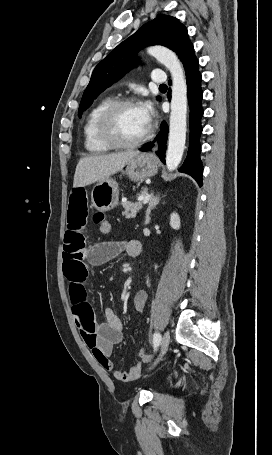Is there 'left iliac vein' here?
I'll use <instances>...</instances> for the list:
<instances>
[{
	"label": "left iliac vein",
	"mask_w": 272,
	"mask_h": 455,
	"mask_svg": "<svg viewBox=\"0 0 272 455\" xmlns=\"http://www.w3.org/2000/svg\"><path fill=\"white\" fill-rule=\"evenodd\" d=\"M169 342H170V334L168 331H166L161 340V352L159 354L158 359L156 360V362L153 364L152 367H154L159 362V360L163 357V355L166 353L167 348L169 346Z\"/></svg>",
	"instance_id": "obj_1"
}]
</instances>
